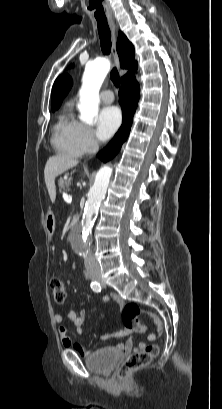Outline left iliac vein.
I'll use <instances>...</instances> for the list:
<instances>
[{
  "label": "left iliac vein",
  "instance_id": "left-iliac-vein-1",
  "mask_svg": "<svg viewBox=\"0 0 222 409\" xmlns=\"http://www.w3.org/2000/svg\"><path fill=\"white\" fill-rule=\"evenodd\" d=\"M99 281H100V283H101V285H102L103 287L106 286V283L104 282V280L100 279Z\"/></svg>",
  "mask_w": 222,
  "mask_h": 409
}]
</instances>
